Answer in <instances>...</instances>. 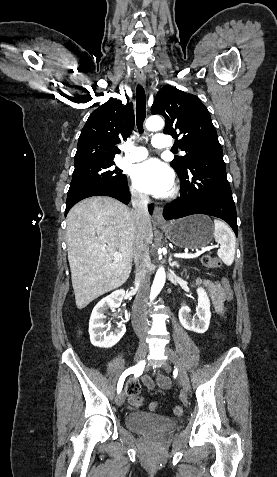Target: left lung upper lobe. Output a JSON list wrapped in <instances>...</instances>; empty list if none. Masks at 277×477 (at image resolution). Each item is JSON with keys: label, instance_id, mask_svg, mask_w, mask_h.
Returning <instances> with one entry per match:
<instances>
[{"label": "left lung upper lobe", "instance_id": "obj_1", "mask_svg": "<svg viewBox=\"0 0 277 477\" xmlns=\"http://www.w3.org/2000/svg\"><path fill=\"white\" fill-rule=\"evenodd\" d=\"M152 114L165 117L164 133L176 140L186 152L170 163L177 173L184 172L194 157L205 153L222 152L210 114L200 99L172 86H164L151 107Z\"/></svg>", "mask_w": 277, "mask_h": 477}]
</instances>
